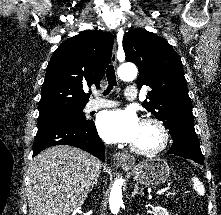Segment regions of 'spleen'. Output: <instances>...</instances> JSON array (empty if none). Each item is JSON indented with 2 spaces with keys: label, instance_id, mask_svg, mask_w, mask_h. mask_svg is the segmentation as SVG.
<instances>
[{
  "label": "spleen",
  "instance_id": "obj_1",
  "mask_svg": "<svg viewBox=\"0 0 221 215\" xmlns=\"http://www.w3.org/2000/svg\"><path fill=\"white\" fill-rule=\"evenodd\" d=\"M192 181L194 189L197 191L199 195L203 196L205 194V189L203 184L197 178H193Z\"/></svg>",
  "mask_w": 221,
  "mask_h": 215
}]
</instances>
